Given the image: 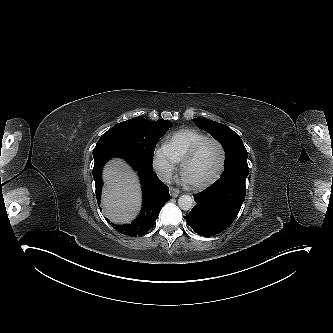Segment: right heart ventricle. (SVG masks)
I'll return each mask as SVG.
<instances>
[{"mask_svg": "<svg viewBox=\"0 0 333 333\" xmlns=\"http://www.w3.org/2000/svg\"><path fill=\"white\" fill-rule=\"evenodd\" d=\"M207 136L196 129H180L167 139L166 147L176 161H181L194 144Z\"/></svg>", "mask_w": 333, "mask_h": 333, "instance_id": "obj_1", "label": "right heart ventricle"}]
</instances>
